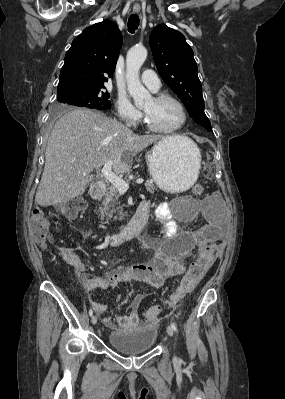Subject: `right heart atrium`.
I'll use <instances>...</instances> for the list:
<instances>
[{
	"mask_svg": "<svg viewBox=\"0 0 285 399\" xmlns=\"http://www.w3.org/2000/svg\"><path fill=\"white\" fill-rule=\"evenodd\" d=\"M117 116L124 122L136 125L140 122L142 114L126 97L120 96L117 100Z\"/></svg>",
	"mask_w": 285,
	"mask_h": 399,
	"instance_id": "right-heart-atrium-1",
	"label": "right heart atrium"
}]
</instances>
